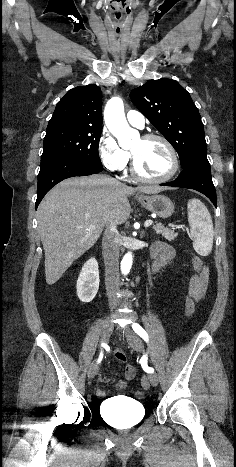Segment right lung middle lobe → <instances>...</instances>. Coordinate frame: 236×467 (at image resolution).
<instances>
[{
    "instance_id": "dd1d6c3e",
    "label": "right lung middle lobe",
    "mask_w": 236,
    "mask_h": 467,
    "mask_svg": "<svg viewBox=\"0 0 236 467\" xmlns=\"http://www.w3.org/2000/svg\"><path fill=\"white\" fill-rule=\"evenodd\" d=\"M102 129L54 126L47 128L41 163L71 157L102 166L98 154Z\"/></svg>"
}]
</instances>
